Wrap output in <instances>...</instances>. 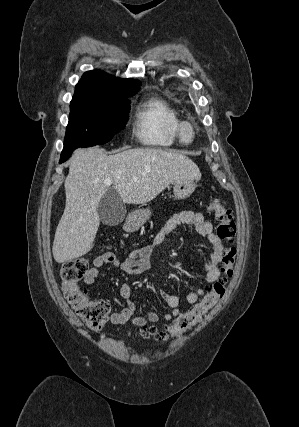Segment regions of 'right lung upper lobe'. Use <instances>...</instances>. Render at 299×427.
I'll return each instance as SVG.
<instances>
[{
  "instance_id": "right-lung-upper-lobe-1",
  "label": "right lung upper lobe",
  "mask_w": 299,
  "mask_h": 427,
  "mask_svg": "<svg viewBox=\"0 0 299 427\" xmlns=\"http://www.w3.org/2000/svg\"><path fill=\"white\" fill-rule=\"evenodd\" d=\"M140 81L121 79L100 70L84 73L75 87L72 101L77 100H114L134 95Z\"/></svg>"
}]
</instances>
